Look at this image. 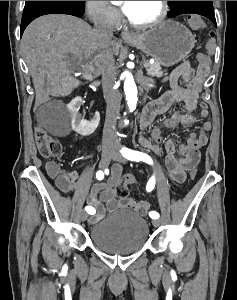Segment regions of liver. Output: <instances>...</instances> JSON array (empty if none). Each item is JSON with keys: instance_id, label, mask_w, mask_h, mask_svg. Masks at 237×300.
I'll return each mask as SVG.
<instances>
[{"instance_id": "6515ba94", "label": "liver", "mask_w": 237, "mask_h": 300, "mask_svg": "<svg viewBox=\"0 0 237 300\" xmlns=\"http://www.w3.org/2000/svg\"><path fill=\"white\" fill-rule=\"evenodd\" d=\"M22 53L31 73L36 101L44 93H57L61 76L70 75L69 67L100 75L102 49L96 31L71 15H44L32 21L21 39ZM113 55H119V43L111 41ZM91 59L92 65L79 61ZM75 85H79L75 81Z\"/></svg>"}]
</instances>
